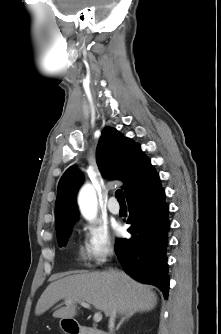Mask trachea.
<instances>
[{
	"instance_id": "trachea-1",
	"label": "trachea",
	"mask_w": 221,
	"mask_h": 334,
	"mask_svg": "<svg viewBox=\"0 0 221 334\" xmlns=\"http://www.w3.org/2000/svg\"><path fill=\"white\" fill-rule=\"evenodd\" d=\"M116 197L118 198L119 203H125L123 191L121 189L116 191Z\"/></svg>"
}]
</instances>
